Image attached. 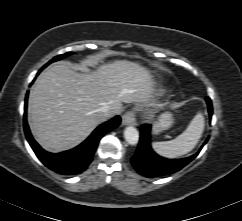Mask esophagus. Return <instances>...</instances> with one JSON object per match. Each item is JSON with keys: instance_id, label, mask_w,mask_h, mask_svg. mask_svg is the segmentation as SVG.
Wrapping results in <instances>:
<instances>
[{"instance_id": "34e87169", "label": "esophagus", "mask_w": 242, "mask_h": 221, "mask_svg": "<svg viewBox=\"0 0 242 221\" xmlns=\"http://www.w3.org/2000/svg\"><path fill=\"white\" fill-rule=\"evenodd\" d=\"M135 114L133 111H128L122 116V125L135 124Z\"/></svg>"}]
</instances>
